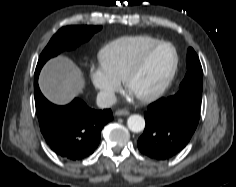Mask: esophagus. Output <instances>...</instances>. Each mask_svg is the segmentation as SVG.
I'll use <instances>...</instances> for the list:
<instances>
[{"label":"esophagus","instance_id":"1","mask_svg":"<svg viewBox=\"0 0 236 187\" xmlns=\"http://www.w3.org/2000/svg\"><path fill=\"white\" fill-rule=\"evenodd\" d=\"M115 115L117 116H127L129 115V111L126 109H119L115 112Z\"/></svg>","mask_w":236,"mask_h":187}]
</instances>
